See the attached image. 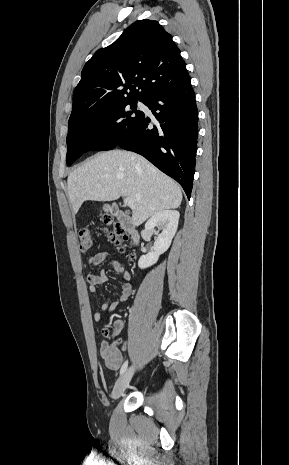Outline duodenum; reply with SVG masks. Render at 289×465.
<instances>
[{
    "mask_svg": "<svg viewBox=\"0 0 289 465\" xmlns=\"http://www.w3.org/2000/svg\"><path fill=\"white\" fill-rule=\"evenodd\" d=\"M110 211L118 218L122 227L130 234L133 242L137 244L139 242V234L133 226L130 217L125 213L119 211L116 207H112Z\"/></svg>",
    "mask_w": 289,
    "mask_h": 465,
    "instance_id": "1",
    "label": "duodenum"
}]
</instances>
